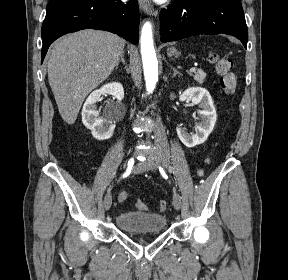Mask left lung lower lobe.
Returning a JSON list of instances; mask_svg holds the SVG:
<instances>
[{
    "mask_svg": "<svg viewBox=\"0 0 288 280\" xmlns=\"http://www.w3.org/2000/svg\"><path fill=\"white\" fill-rule=\"evenodd\" d=\"M220 33L235 36L247 48L248 31L243 10L222 0H178L160 12L163 42Z\"/></svg>",
    "mask_w": 288,
    "mask_h": 280,
    "instance_id": "1",
    "label": "left lung lower lobe"
}]
</instances>
